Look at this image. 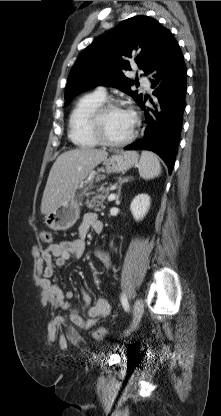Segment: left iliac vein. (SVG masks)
I'll list each match as a JSON object with an SVG mask.
<instances>
[{"label": "left iliac vein", "mask_w": 221, "mask_h": 416, "mask_svg": "<svg viewBox=\"0 0 221 416\" xmlns=\"http://www.w3.org/2000/svg\"><path fill=\"white\" fill-rule=\"evenodd\" d=\"M144 312V303L141 299H137L133 306V321L127 333L133 331L139 323Z\"/></svg>", "instance_id": "obj_1"}]
</instances>
